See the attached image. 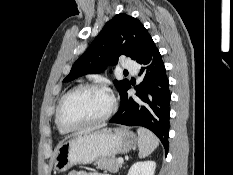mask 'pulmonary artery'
I'll use <instances>...</instances> for the list:
<instances>
[{"label": "pulmonary artery", "instance_id": "e3ab8cb5", "mask_svg": "<svg viewBox=\"0 0 233 175\" xmlns=\"http://www.w3.org/2000/svg\"><path fill=\"white\" fill-rule=\"evenodd\" d=\"M121 66L127 70H130L132 72H135L136 71V63L134 61H131V60H124L122 63H121Z\"/></svg>", "mask_w": 233, "mask_h": 175}]
</instances>
